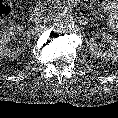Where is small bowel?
I'll return each mask as SVG.
<instances>
[{
    "instance_id": "1",
    "label": "small bowel",
    "mask_w": 118,
    "mask_h": 118,
    "mask_svg": "<svg viewBox=\"0 0 118 118\" xmlns=\"http://www.w3.org/2000/svg\"><path fill=\"white\" fill-rule=\"evenodd\" d=\"M116 6H118V5H116ZM114 30H115L116 32H118V20H117V24L114 26Z\"/></svg>"
}]
</instances>
